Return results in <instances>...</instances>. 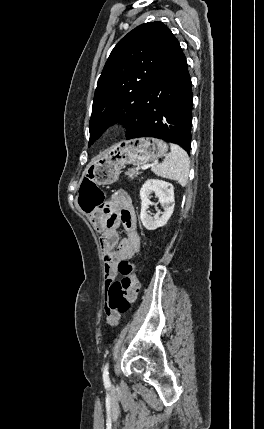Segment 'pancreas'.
Wrapping results in <instances>:
<instances>
[{"label":"pancreas","mask_w":264,"mask_h":429,"mask_svg":"<svg viewBox=\"0 0 264 429\" xmlns=\"http://www.w3.org/2000/svg\"><path fill=\"white\" fill-rule=\"evenodd\" d=\"M140 174L138 168H130L125 172V175L128 176L131 180L137 177Z\"/></svg>","instance_id":"cf45deb5"}]
</instances>
